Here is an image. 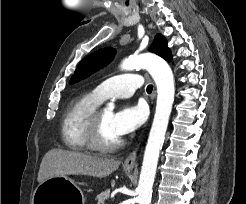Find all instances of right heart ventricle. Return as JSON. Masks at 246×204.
I'll use <instances>...</instances> for the list:
<instances>
[{"mask_svg":"<svg viewBox=\"0 0 246 204\" xmlns=\"http://www.w3.org/2000/svg\"><path fill=\"white\" fill-rule=\"evenodd\" d=\"M100 102L93 93L78 96L70 102L63 117L61 131L63 142L68 148L76 151L89 149L86 131Z\"/></svg>","mask_w":246,"mask_h":204,"instance_id":"1","label":"right heart ventricle"}]
</instances>
